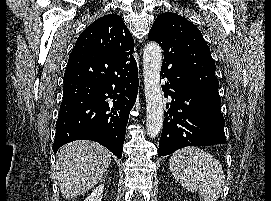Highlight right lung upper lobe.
<instances>
[{
  "mask_svg": "<svg viewBox=\"0 0 271 201\" xmlns=\"http://www.w3.org/2000/svg\"><path fill=\"white\" fill-rule=\"evenodd\" d=\"M91 50L116 56L127 62L135 60L134 40L122 18L109 14L98 18L78 37L73 51Z\"/></svg>",
  "mask_w": 271,
  "mask_h": 201,
  "instance_id": "obj_1",
  "label": "right lung upper lobe"
}]
</instances>
